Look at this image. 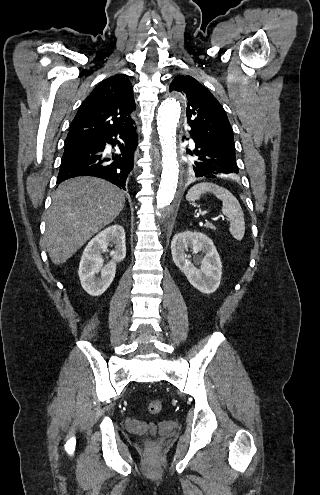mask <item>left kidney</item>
Returning <instances> with one entry per match:
<instances>
[{"label":"left kidney","instance_id":"obj_1","mask_svg":"<svg viewBox=\"0 0 320 495\" xmlns=\"http://www.w3.org/2000/svg\"><path fill=\"white\" fill-rule=\"evenodd\" d=\"M203 252L201 267L196 268L186 252ZM171 254L176 266L185 274L188 281L200 292L211 294L220 285L222 263L210 238L199 232L186 231L176 234L171 242Z\"/></svg>","mask_w":320,"mask_h":495}]
</instances>
